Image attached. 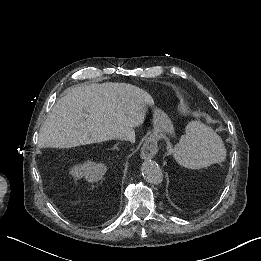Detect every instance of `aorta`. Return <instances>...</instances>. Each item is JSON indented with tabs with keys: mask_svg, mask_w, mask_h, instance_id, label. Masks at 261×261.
Returning <instances> with one entry per match:
<instances>
[{
	"mask_svg": "<svg viewBox=\"0 0 261 261\" xmlns=\"http://www.w3.org/2000/svg\"><path fill=\"white\" fill-rule=\"evenodd\" d=\"M144 179L151 184L158 185L163 181V173L160 166L153 160H146L141 166Z\"/></svg>",
	"mask_w": 261,
	"mask_h": 261,
	"instance_id": "obj_1",
	"label": "aorta"
}]
</instances>
